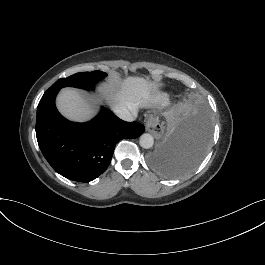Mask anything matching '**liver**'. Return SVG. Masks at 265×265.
Instances as JSON below:
<instances>
[{"mask_svg":"<svg viewBox=\"0 0 265 265\" xmlns=\"http://www.w3.org/2000/svg\"><path fill=\"white\" fill-rule=\"evenodd\" d=\"M104 93L112 109L125 107L132 114L139 108L155 106L159 99L156 83L142 77H127L118 91L105 90ZM56 104L60 113L71 121L83 122L95 113L90 104L71 88L61 90Z\"/></svg>","mask_w":265,"mask_h":265,"instance_id":"obj_1","label":"liver"}]
</instances>
